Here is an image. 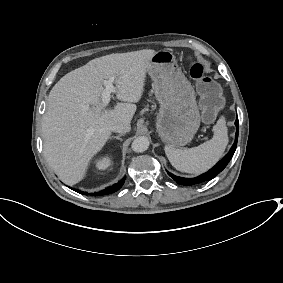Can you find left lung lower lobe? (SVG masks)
Listing matches in <instances>:
<instances>
[{
    "label": "left lung lower lobe",
    "mask_w": 283,
    "mask_h": 283,
    "mask_svg": "<svg viewBox=\"0 0 283 283\" xmlns=\"http://www.w3.org/2000/svg\"><path fill=\"white\" fill-rule=\"evenodd\" d=\"M235 125L237 127L236 131V138L233 146L231 147L230 151L228 154L225 155V157L220 160L212 169H210L208 172L195 177V178H183V177H178L170 172H168V175L171 176L178 184L184 185V186H190V185H195V184H200L206 181H209L213 179L216 175H218L229 163L231 160L237 146V140H238V118L235 121Z\"/></svg>",
    "instance_id": "1"
}]
</instances>
